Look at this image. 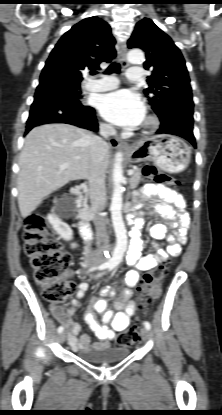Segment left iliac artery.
<instances>
[{"label":"left iliac artery","instance_id":"44dca946","mask_svg":"<svg viewBox=\"0 0 222 415\" xmlns=\"http://www.w3.org/2000/svg\"><path fill=\"white\" fill-rule=\"evenodd\" d=\"M109 270H111L113 268V266H108L107 267ZM144 326L149 330L151 328V324L148 321L144 322Z\"/></svg>","mask_w":222,"mask_h":415}]
</instances>
